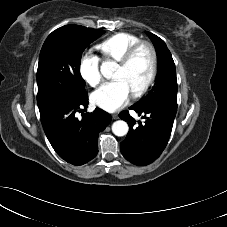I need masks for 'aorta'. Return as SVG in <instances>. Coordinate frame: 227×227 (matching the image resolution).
<instances>
[{
    "instance_id": "obj_1",
    "label": "aorta",
    "mask_w": 227,
    "mask_h": 227,
    "mask_svg": "<svg viewBox=\"0 0 227 227\" xmlns=\"http://www.w3.org/2000/svg\"><path fill=\"white\" fill-rule=\"evenodd\" d=\"M112 65V63H106L103 67H102V74L107 77L110 76V66ZM129 127L128 124L123 121V120H118L115 121L112 124V132L116 135V136H125L128 133Z\"/></svg>"
}]
</instances>
